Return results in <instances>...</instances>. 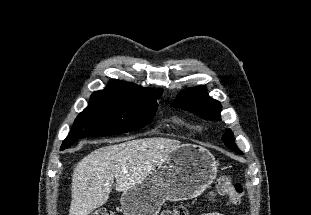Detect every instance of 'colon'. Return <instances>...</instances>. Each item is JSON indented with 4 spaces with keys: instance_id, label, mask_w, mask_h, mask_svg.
I'll return each instance as SVG.
<instances>
[{
    "instance_id": "colon-1",
    "label": "colon",
    "mask_w": 311,
    "mask_h": 215,
    "mask_svg": "<svg viewBox=\"0 0 311 215\" xmlns=\"http://www.w3.org/2000/svg\"><path fill=\"white\" fill-rule=\"evenodd\" d=\"M216 191L219 194L227 195L232 204L238 205L243 196V186L238 183H232L229 176H221L216 184ZM187 208L184 205H177L173 208L164 210L161 215H187ZM91 215H114V213L106 208L96 209Z\"/></svg>"
}]
</instances>
